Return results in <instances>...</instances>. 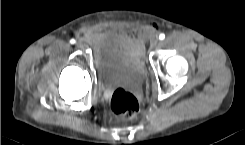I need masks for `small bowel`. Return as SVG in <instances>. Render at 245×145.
<instances>
[{"mask_svg":"<svg viewBox=\"0 0 245 145\" xmlns=\"http://www.w3.org/2000/svg\"><path fill=\"white\" fill-rule=\"evenodd\" d=\"M151 31H152V28H151ZM89 37L93 42L97 43L101 40L102 33L100 31H93L89 33Z\"/></svg>","mask_w":245,"mask_h":145,"instance_id":"c3829d8e","label":"small bowel"}]
</instances>
